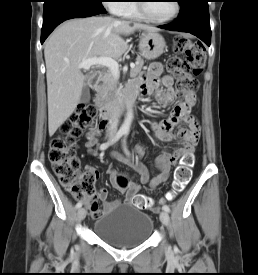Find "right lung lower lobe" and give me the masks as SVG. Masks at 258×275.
<instances>
[{"mask_svg":"<svg viewBox=\"0 0 258 275\" xmlns=\"http://www.w3.org/2000/svg\"><path fill=\"white\" fill-rule=\"evenodd\" d=\"M101 2L93 0H46L44 2L41 43L63 21L105 13Z\"/></svg>","mask_w":258,"mask_h":275,"instance_id":"obj_1","label":"right lung lower lobe"}]
</instances>
